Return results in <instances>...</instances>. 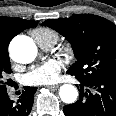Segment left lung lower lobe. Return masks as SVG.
I'll use <instances>...</instances> for the list:
<instances>
[{"mask_svg":"<svg viewBox=\"0 0 116 116\" xmlns=\"http://www.w3.org/2000/svg\"><path fill=\"white\" fill-rule=\"evenodd\" d=\"M79 82V99L64 107L66 116H116V77Z\"/></svg>","mask_w":116,"mask_h":116,"instance_id":"0a47b994","label":"left lung lower lobe"}]
</instances>
